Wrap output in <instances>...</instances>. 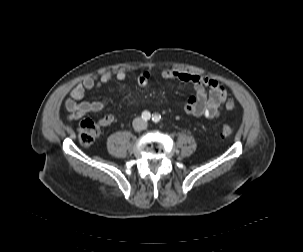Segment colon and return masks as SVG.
Segmentation results:
<instances>
[{"mask_svg": "<svg viewBox=\"0 0 303 252\" xmlns=\"http://www.w3.org/2000/svg\"><path fill=\"white\" fill-rule=\"evenodd\" d=\"M234 132L233 127L223 125L221 128L222 137H230ZM100 135L99 126L91 119H85L79 126V138L83 145H92Z\"/></svg>", "mask_w": 303, "mask_h": 252, "instance_id": "colon-1", "label": "colon"}]
</instances>
